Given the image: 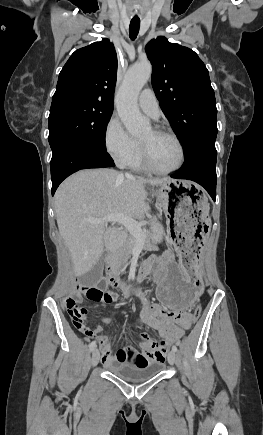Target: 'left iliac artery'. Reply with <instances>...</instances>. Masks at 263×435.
<instances>
[{
	"instance_id": "44dca946",
	"label": "left iliac artery",
	"mask_w": 263,
	"mask_h": 435,
	"mask_svg": "<svg viewBox=\"0 0 263 435\" xmlns=\"http://www.w3.org/2000/svg\"><path fill=\"white\" fill-rule=\"evenodd\" d=\"M172 350L177 352V347L175 345L172 346Z\"/></svg>"
}]
</instances>
